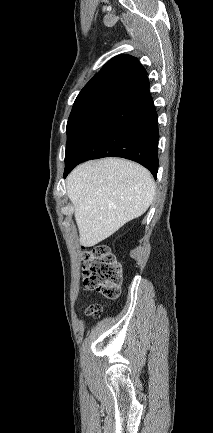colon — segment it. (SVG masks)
Returning a JSON list of instances; mask_svg holds the SVG:
<instances>
[{"mask_svg": "<svg viewBox=\"0 0 213 433\" xmlns=\"http://www.w3.org/2000/svg\"><path fill=\"white\" fill-rule=\"evenodd\" d=\"M83 275L86 288L99 292L107 299H116L119 296L123 265L107 245L98 244L86 252ZM86 313L97 317L101 313V306L93 304L86 309Z\"/></svg>", "mask_w": 213, "mask_h": 433, "instance_id": "colon-1", "label": "colon"}]
</instances>
